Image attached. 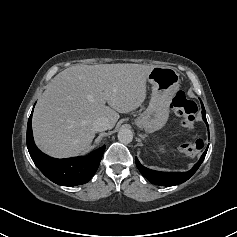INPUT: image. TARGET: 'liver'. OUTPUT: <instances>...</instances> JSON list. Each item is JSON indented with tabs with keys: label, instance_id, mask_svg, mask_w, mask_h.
<instances>
[{
	"label": "liver",
	"instance_id": "liver-1",
	"mask_svg": "<svg viewBox=\"0 0 237 237\" xmlns=\"http://www.w3.org/2000/svg\"><path fill=\"white\" fill-rule=\"evenodd\" d=\"M154 66L141 64L75 65L57 74L35 107L32 126L37 146L65 158L85 151L106 118L112 129L119 113L137 109L146 98V80ZM107 103V105H106Z\"/></svg>",
	"mask_w": 237,
	"mask_h": 237
}]
</instances>
